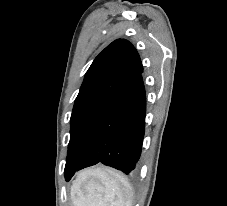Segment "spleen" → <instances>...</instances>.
Wrapping results in <instances>:
<instances>
[{
    "instance_id": "spleen-1",
    "label": "spleen",
    "mask_w": 227,
    "mask_h": 206,
    "mask_svg": "<svg viewBox=\"0 0 227 206\" xmlns=\"http://www.w3.org/2000/svg\"><path fill=\"white\" fill-rule=\"evenodd\" d=\"M71 195L75 206H131L133 189L119 174L97 169L83 174L71 187Z\"/></svg>"
}]
</instances>
